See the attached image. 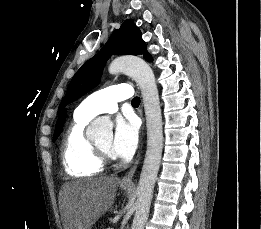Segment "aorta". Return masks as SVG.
Segmentation results:
<instances>
[{"mask_svg": "<svg viewBox=\"0 0 261 229\" xmlns=\"http://www.w3.org/2000/svg\"><path fill=\"white\" fill-rule=\"evenodd\" d=\"M110 74L125 72L138 82L143 100L147 123V151L136 189L137 201L131 229H144L150 213L153 191L161 163L163 149V123L158 88L154 72L139 56H119L108 66ZM113 123L109 117H98L93 121L87 139L94 141L112 139Z\"/></svg>", "mask_w": 261, "mask_h": 229, "instance_id": "762f6f07", "label": "aorta"}]
</instances>
